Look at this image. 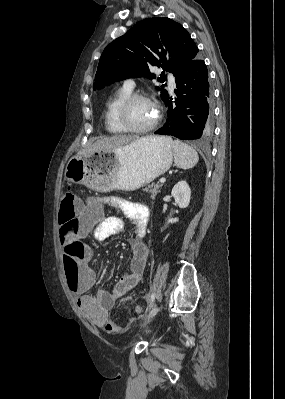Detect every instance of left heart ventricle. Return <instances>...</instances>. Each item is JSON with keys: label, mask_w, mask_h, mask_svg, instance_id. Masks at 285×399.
I'll return each mask as SVG.
<instances>
[{"label": "left heart ventricle", "mask_w": 285, "mask_h": 399, "mask_svg": "<svg viewBox=\"0 0 285 399\" xmlns=\"http://www.w3.org/2000/svg\"><path fill=\"white\" fill-rule=\"evenodd\" d=\"M156 116L154 106L145 100L134 102L129 109V122L133 127L142 128L151 124Z\"/></svg>", "instance_id": "b2bd125f"}]
</instances>
